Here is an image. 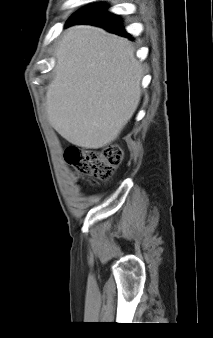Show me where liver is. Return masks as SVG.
I'll return each mask as SVG.
<instances>
[{"mask_svg": "<svg viewBox=\"0 0 213 338\" xmlns=\"http://www.w3.org/2000/svg\"><path fill=\"white\" fill-rule=\"evenodd\" d=\"M46 113L68 142L86 149L113 142L137 109L143 70L122 37L89 25L67 29L55 50Z\"/></svg>", "mask_w": 213, "mask_h": 338, "instance_id": "6515ba94", "label": "liver"}]
</instances>
